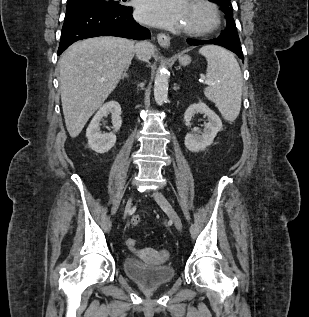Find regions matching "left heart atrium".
<instances>
[{
    "mask_svg": "<svg viewBox=\"0 0 309 317\" xmlns=\"http://www.w3.org/2000/svg\"><path fill=\"white\" fill-rule=\"evenodd\" d=\"M189 7L188 0H139L136 16L141 22L177 30L185 26Z\"/></svg>",
    "mask_w": 309,
    "mask_h": 317,
    "instance_id": "39dd6f15",
    "label": "left heart atrium"
}]
</instances>
